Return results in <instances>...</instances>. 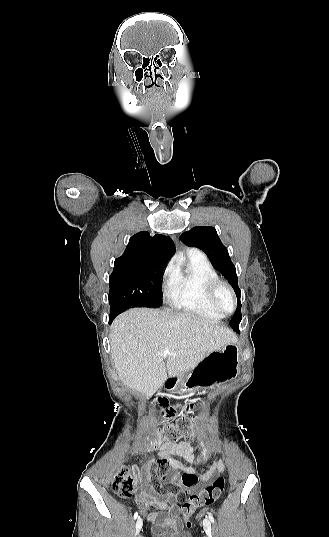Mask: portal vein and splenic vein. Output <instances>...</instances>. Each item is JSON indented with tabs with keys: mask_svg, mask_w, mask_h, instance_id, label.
<instances>
[{
	"mask_svg": "<svg viewBox=\"0 0 329 537\" xmlns=\"http://www.w3.org/2000/svg\"><path fill=\"white\" fill-rule=\"evenodd\" d=\"M170 353V350L167 348L163 351L162 355L167 356Z\"/></svg>",
	"mask_w": 329,
	"mask_h": 537,
	"instance_id": "obj_1",
	"label": "portal vein and splenic vein"
}]
</instances>
